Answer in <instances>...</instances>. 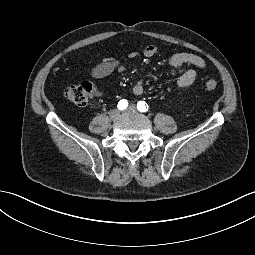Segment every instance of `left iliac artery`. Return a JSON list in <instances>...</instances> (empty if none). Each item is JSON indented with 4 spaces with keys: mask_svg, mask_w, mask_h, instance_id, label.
<instances>
[{
    "mask_svg": "<svg viewBox=\"0 0 255 255\" xmlns=\"http://www.w3.org/2000/svg\"><path fill=\"white\" fill-rule=\"evenodd\" d=\"M137 109L140 111V112H146L148 110V105L146 102L144 101H139L137 103Z\"/></svg>",
    "mask_w": 255,
    "mask_h": 255,
    "instance_id": "44dca946",
    "label": "left iliac artery"
}]
</instances>
